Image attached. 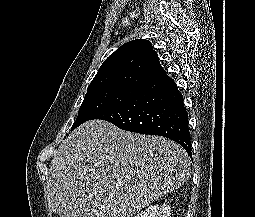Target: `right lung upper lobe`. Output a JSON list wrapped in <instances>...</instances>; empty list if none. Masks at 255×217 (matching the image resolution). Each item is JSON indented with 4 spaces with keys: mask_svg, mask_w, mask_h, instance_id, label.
I'll return each mask as SVG.
<instances>
[{
    "mask_svg": "<svg viewBox=\"0 0 255 217\" xmlns=\"http://www.w3.org/2000/svg\"><path fill=\"white\" fill-rule=\"evenodd\" d=\"M165 75L152 44L144 39L133 40L103 62L87 91L110 85L146 87Z\"/></svg>",
    "mask_w": 255,
    "mask_h": 217,
    "instance_id": "cb5924a9",
    "label": "right lung upper lobe"
}]
</instances>
